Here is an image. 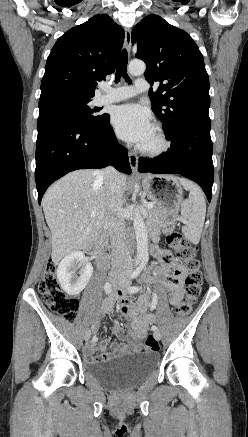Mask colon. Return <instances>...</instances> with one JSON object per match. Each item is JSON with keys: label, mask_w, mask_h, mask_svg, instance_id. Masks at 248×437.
<instances>
[{"label": "colon", "mask_w": 248, "mask_h": 437, "mask_svg": "<svg viewBox=\"0 0 248 437\" xmlns=\"http://www.w3.org/2000/svg\"><path fill=\"white\" fill-rule=\"evenodd\" d=\"M167 241L188 269L185 279V297L176 308L177 314L184 317L190 313L202 291L203 277L197 257V248L179 232H172L167 237ZM56 271V264L48 263L39 283V292L45 304L52 311L70 321L76 317L78 299L62 290ZM145 350L150 352L159 350V342L154 336L149 335L146 338Z\"/></svg>", "instance_id": "1"}]
</instances>
